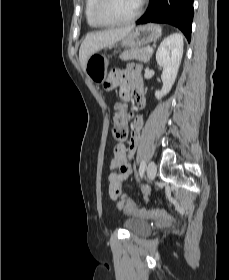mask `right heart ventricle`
Here are the masks:
<instances>
[{"mask_svg":"<svg viewBox=\"0 0 229 280\" xmlns=\"http://www.w3.org/2000/svg\"><path fill=\"white\" fill-rule=\"evenodd\" d=\"M96 2H97V0H85V9H84L87 24L91 28H95V29L102 27L99 24H97V22L95 21L94 16H93V11H94Z\"/></svg>","mask_w":229,"mask_h":280,"instance_id":"1","label":"right heart ventricle"}]
</instances>
